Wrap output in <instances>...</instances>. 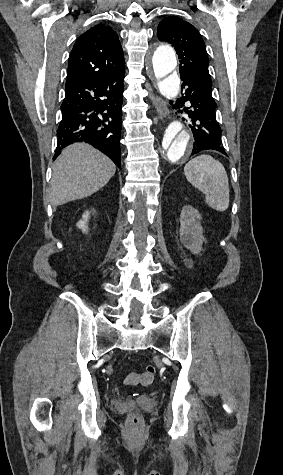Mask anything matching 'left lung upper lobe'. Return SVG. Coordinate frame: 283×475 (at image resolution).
Instances as JSON below:
<instances>
[{
  "label": "left lung upper lobe",
  "mask_w": 283,
  "mask_h": 475,
  "mask_svg": "<svg viewBox=\"0 0 283 475\" xmlns=\"http://www.w3.org/2000/svg\"><path fill=\"white\" fill-rule=\"evenodd\" d=\"M157 36L160 41L174 46L180 59V74H195L211 79L205 43L193 25L178 17H167L159 23Z\"/></svg>",
  "instance_id": "1"
}]
</instances>
